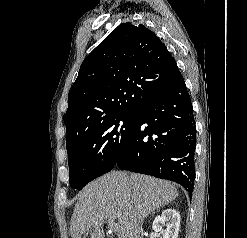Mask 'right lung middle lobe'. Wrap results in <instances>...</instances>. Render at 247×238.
<instances>
[{
	"label": "right lung middle lobe",
	"mask_w": 247,
	"mask_h": 238,
	"mask_svg": "<svg viewBox=\"0 0 247 238\" xmlns=\"http://www.w3.org/2000/svg\"><path fill=\"white\" fill-rule=\"evenodd\" d=\"M136 113L116 116L82 133L67 145L70 186L81 190L116 165L136 125Z\"/></svg>",
	"instance_id": "dd1d6c3e"
}]
</instances>
